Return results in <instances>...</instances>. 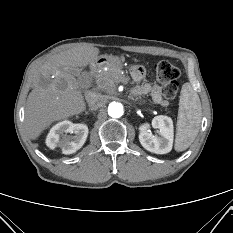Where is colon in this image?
<instances>
[{"label":"colon","mask_w":233,"mask_h":233,"mask_svg":"<svg viewBox=\"0 0 233 233\" xmlns=\"http://www.w3.org/2000/svg\"><path fill=\"white\" fill-rule=\"evenodd\" d=\"M154 70L157 80L163 83V96L167 99L175 98L178 92L177 79L180 76V70L168 61L158 62Z\"/></svg>","instance_id":"5ec220e1"}]
</instances>
